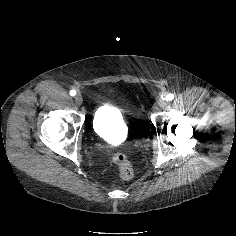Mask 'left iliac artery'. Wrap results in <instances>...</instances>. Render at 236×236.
<instances>
[{"instance_id": "obj_1", "label": "left iliac artery", "mask_w": 236, "mask_h": 236, "mask_svg": "<svg viewBox=\"0 0 236 236\" xmlns=\"http://www.w3.org/2000/svg\"><path fill=\"white\" fill-rule=\"evenodd\" d=\"M174 98V95L173 94H168L167 96H166V99L167 100H172Z\"/></svg>"}]
</instances>
